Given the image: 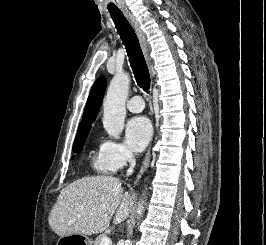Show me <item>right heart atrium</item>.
Listing matches in <instances>:
<instances>
[{
    "label": "right heart atrium",
    "instance_id": "obj_1",
    "mask_svg": "<svg viewBox=\"0 0 266 245\" xmlns=\"http://www.w3.org/2000/svg\"><path fill=\"white\" fill-rule=\"evenodd\" d=\"M99 152L111 171L121 169L133 157L131 151L125 144L110 137H104L101 140Z\"/></svg>",
    "mask_w": 266,
    "mask_h": 245
}]
</instances>
